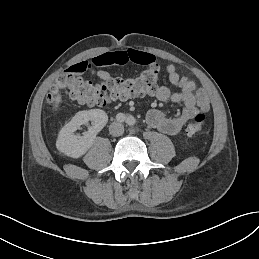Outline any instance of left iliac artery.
<instances>
[{
    "label": "left iliac artery",
    "instance_id": "obj_1",
    "mask_svg": "<svg viewBox=\"0 0 259 259\" xmlns=\"http://www.w3.org/2000/svg\"><path fill=\"white\" fill-rule=\"evenodd\" d=\"M126 123L129 126H133L136 123V119L133 116L129 115L126 119Z\"/></svg>",
    "mask_w": 259,
    "mask_h": 259
}]
</instances>
